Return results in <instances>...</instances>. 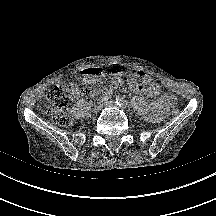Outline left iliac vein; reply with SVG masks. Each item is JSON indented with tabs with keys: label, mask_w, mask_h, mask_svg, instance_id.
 Wrapping results in <instances>:
<instances>
[{
	"label": "left iliac vein",
	"mask_w": 216,
	"mask_h": 216,
	"mask_svg": "<svg viewBox=\"0 0 216 216\" xmlns=\"http://www.w3.org/2000/svg\"><path fill=\"white\" fill-rule=\"evenodd\" d=\"M104 106L115 107V106H116V103L113 102V101H106V102L104 103ZM122 109H125V108H122Z\"/></svg>",
	"instance_id": "left-iliac-vein-1"
}]
</instances>
